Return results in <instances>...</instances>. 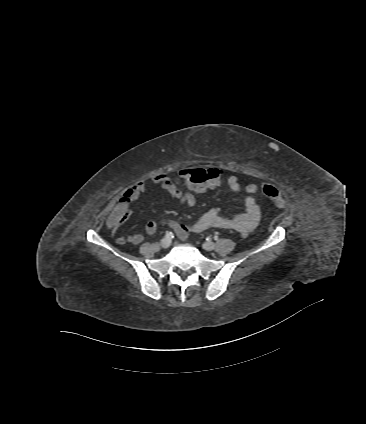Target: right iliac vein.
I'll return each instance as SVG.
<instances>
[{
    "mask_svg": "<svg viewBox=\"0 0 366 424\" xmlns=\"http://www.w3.org/2000/svg\"><path fill=\"white\" fill-rule=\"evenodd\" d=\"M161 246L163 247V248H168L169 246H170V244H171V239L170 238H168V237H164L162 240H161Z\"/></svg>",
    "mask_w": 366,
    "mask_h": 424,
    "instance_id": "right-iliac-vein-1",
    "label": "right iliac vein"
}]
</instances>
